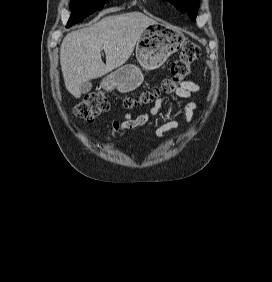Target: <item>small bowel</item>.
Returning a JSON list of instances; mask_svg holds the SVG:
<instances>
[{
    "label": "small bowel",
    "instance_id": "1",
    "mask_svg": "<svg viewBox=\"0 0 272 282\" xmlns=\"http://www.w3.org/2000/svg\"><path fill=\"white\" fill-rule=\"evenodd\" d=\"M199 90L200 87L197 84L185 81L177 90V95L182 99H190ZM161 107V101L157 99L149 109L135 118H133L131 114H126L121 121H115L113 123V132L109 135V140L122 135L124 130L144 125L148 121L150 115H156L161 111ZM197 108L198 104L193 101H190L185 105L184 116L188 122L193 121L196 117ZM177 127L178 123L176 121H166L156 130V136L159 139H164L169 130L176 129Z\"/></svg>",
    "mask_w": 272,
    "mask_h": 282
}]
</instances>
